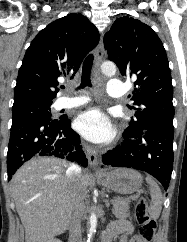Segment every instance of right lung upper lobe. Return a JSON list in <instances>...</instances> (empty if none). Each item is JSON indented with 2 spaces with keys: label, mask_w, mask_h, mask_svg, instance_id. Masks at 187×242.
<instances>
[{
  "label": "right lung upper lobe",
  "mask_w": 187,
  "mask_h": 242,
  "mask_svg": "<svg viewBox=\"0 0 187 242\" xmlns=\"http://www.w3.org/2000/svg\"><path fill=\"white\" fill-rule=\"evenodd\" d=\"M98 41V30L81 14H69L41 30L19 69L13 106L52 103L58 78L73 76Z\"/></svg>",
  "instance_id": "1"
}]
</instances>
